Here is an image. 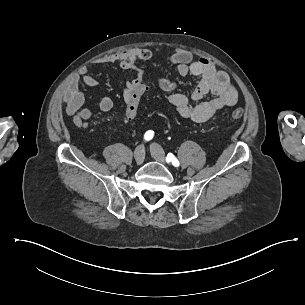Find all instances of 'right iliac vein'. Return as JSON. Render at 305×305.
Returning <instances> with one entry per match:
<instances>
[{
	"label": "right iliac vein",
	"instance_id": "63e3f726",
	"mask_svg": "<svg viewBox=\"0 0 305 305\" xmlns=\"http://www.w3.org/2000/svg\"><path fill=\"white\" fill-rule=\"evenodd\" d=\"M134 157L138 165H141L143 163L145 158V150L143 145H140L136 148L134 152Z\"/></svg>",
	"mask_w": 305,
	"mask_h": 305
}]
</instances>
